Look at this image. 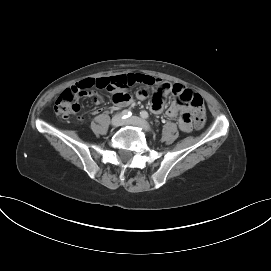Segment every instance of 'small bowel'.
Wrapping results in <instances>:
<instances>
[{
    "label": "small bowel",
    "instance_id": "obj_1",
    "mask_svg": "<svg viewBox=\"0 0 271 271\" xmlns=\"http://www.w3.org/2000/svg\"><path fill=\"white\" fill-rule=\"evenodd\" d=\"M97 81V87L100 90H108L112 93V99L115 105L124 107L133 102V98L127 93L130 86L139 85L136 96L140 100H144L149 95V88L156 87L158 89L154 98L150 103V109L153 113L159 114L164 110V97L167 95L176 96V100L166 110L167 116L178 120L181 131L188 133L193 129L190 113L195 115L196 111L188 104L179 101V98L187 93H192L181 84L168 83L153 76L142 73H125L111 77H100L98 79H86L78 83L93 84ZM94 103L100 104L102 96L96 92H92ZM98 112V110H94Z\"/></svg>",
    "mask_w": 271,
    "mask_h": 271
}]
</instances>
